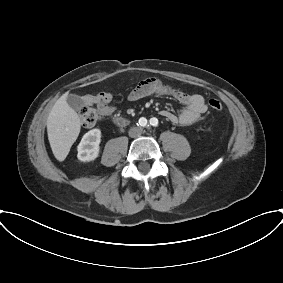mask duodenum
<instances>
[{
  "label": "duodenum",
  "instance_id": "obj_1",
  "mask_svg": "<svg viewBox=\"0 0 283 283\" xmlns=\"http://www.w3.org/2000/svg\"><path fill=\"white\" fill-rule=\"evenodd\" d=\"M113 123L118 127H124L128 123V120L124 117H116L113 119Z\"/></svg>",
  "mask_w": 283,
  "mask_h": 283
}]
</instances>
